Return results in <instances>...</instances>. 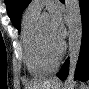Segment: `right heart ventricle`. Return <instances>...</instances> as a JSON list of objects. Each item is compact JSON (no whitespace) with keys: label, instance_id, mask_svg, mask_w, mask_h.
<instances>
[{"label":"right heart ventricle","instance_id":"e07e8e85","mask_svg":"<svg viewBox=\"0 0 89 89\" xmlns=\"http://www.w3.org/2000/svg\"><path fill=\"white\" fill-rule=\"evenodd\" d=\"M38 15L25 12L22 17V42L24 62L27 70L33 76H44L52 72L55 64L48 63L42 57L37 45Z\"/></svg>","mask_w":89,"mask_h":89}]
</instances>
